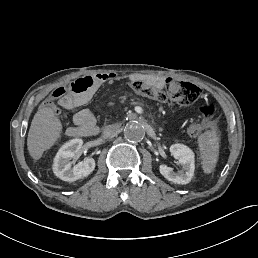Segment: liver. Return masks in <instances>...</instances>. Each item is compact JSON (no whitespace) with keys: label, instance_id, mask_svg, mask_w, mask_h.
I'll list each match as a JSON object with an SVG mask.
<instances>
[{"label":"liver","instance_id":"obj_1","mask_svg":"<svg viewBox=\"0 0 258 258\" xmlns=\"http://www.w3.org/2000/svg\"><path fill=\"white\" fill-rule=\"evenodd\" d=\"M61 124L54 117V111L50 108L40 109L34 116L29 134L28 150L34 159H39L42 153L49 149L59 138Z\"/></svg>","mask_w":258,"mask_h":258}]
</instances>
